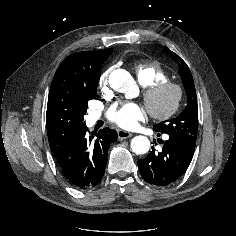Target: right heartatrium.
<instances>
[{
  "label": "right heart atrium",
  "mask_w": 236,
  "mask_h": 236,
  "mask_svg": "<svg viewBox=\"0 0 236 236\" xmlns=\"http://www.w3.org/2000/svg\"><path fill=\"white\" fill-rule=\"evenodd\" d=\"M109 75H110V70H107L104 72L100 79H99V84L102 90H106L109 82Z\"/></svg>",
  "instance_id": "right-heart-atrium-1"
}]
</instances>
